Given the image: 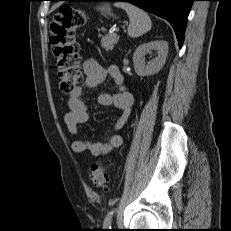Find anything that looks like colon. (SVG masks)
<instances>
[{
  "instance_id": "5ec220e1",
  "label": "colon",
  "mask_w": 231,
  "mask_h": 231,
  "mask_svg": "<svg viewBox=\"0 0 231 231\" xmlns=\"http://www.w3.org/2000/svg\"><path fill=\"white\" fill-rule=\"evenodd\" d=\"M86 20L83 10L66 5L54 15L51 23L50 44L56 59L60 89L64 93L72 92L83 78L75 34L77 29L85 25ZM89 178L99 187H105L109 183L107 169L98 161L90 166Z\"/></svg>"
}]
</instances>
